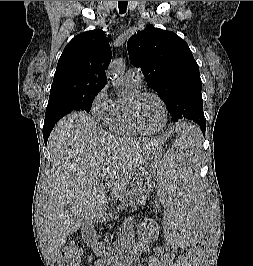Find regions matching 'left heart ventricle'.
<instances>
[{"label":"left heart ventricle","instance_id":"1","mask_svg":"<svg viewBox=\"0 0 253 266\" xmlns=\"http://www.w3.org/2000/svg\"><path fill=\"white\" fill-rule=\"evenodd\" d=\"M138 118L145 129H159L164 122V114L159 101L152 97H144L137 107Z\"/></svg>","mask_w":253,"mask_h":266}]
</instances>
